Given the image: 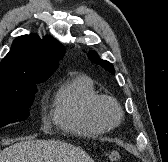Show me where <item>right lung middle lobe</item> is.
I'll use <instances>...</instances> for the list:
<instances>
[{"instance_id":"1","label":"right lung middle lobe","mask_w":168,"mask_h":162,"mask_svg":"<svg viewBox=\"0 0 168 162\" xmlns=\"http://www.w3.org/2000/svg\"><path fill=\"white\" fill-rule=\"evenodd\" d=\"M43 81H25L11 89L0 90V127L23 121L29 116L36 92V84Z\"/></svg>"}]
</instances>
